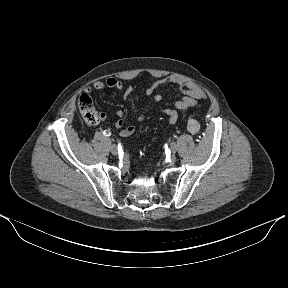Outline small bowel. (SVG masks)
Returning <instances> with one entry per match:
<instances>
[{"mask_svg":"<svg viewBox=\"0 0 288 288\" xmlns=\"http://www.w3.org/2000/svg\"><path fill=\"white\" fill-rule=\"evenodd\" d=\"M166 85L176 86L183 94V96L174 102L173 107L162 109V112L168 117V122L174 124L177 122L179 115L188 109L200 106L201 102L206 98L204 91L193 81L177 75H169L154 81L145 91L146 95L152 96L156 103L161 102L162 95L157 90ZM115 89L123 91V100L128 101L134 92L132 85H125L120 80L115 78H107L98 80L93 84V88H87L86 93L91 94L93 89ZM117 119L114 121L116 128L120 129L119 135L121 137H129L136 132L134 125L125 126V113L122 110H116ZM102 120L106 118L105 113H101ZM145 120L144 114H139L135 121L137 123Z\"/></svg>","mask_w":288,"mask_h":288,"instance_id":"1","label":"small bowel"}]
</instances>
